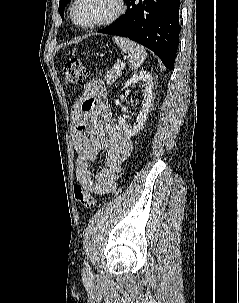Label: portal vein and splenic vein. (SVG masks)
<instances>
[{
	"mask_svg": "<svg viewBox=\"0 0 239 303\" xmlns=\"http://www.w3.org/2000/svg\"><path fill=\"white\" fill-rule=\"evenodd\" d=\"M123 66H124V63H120V64L118 63L114 66V68L119 69L120 67H123Z\"/></svg>",
	"mask_w": 239,
	"mask_h": 303,
	"instance_id": "1",
	"label": "portal vein and splenic vein"
}]
</instances>
